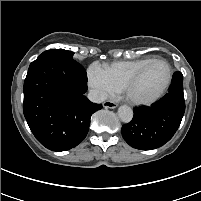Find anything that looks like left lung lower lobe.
<instances>
[{
    "mask_svg": "<svg viewBox=\"0 0 201 201\" xmlns=\"http://www.w3.org/2000/svg\"><path fill=\"white\" fill-rule=\"evenodd\" d=\"M185 112L183 75L173 74L169 92L150 107L134 109L133 119L122 126L124 140L133 148L151 150L168 142Z\"/></svg>",
    "mask_w": 201,
    "mask_h": 201,
    "instance_id": "1",
    "label": "left lung lower lobe"
}]
</instances>
